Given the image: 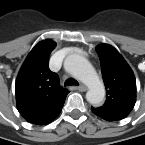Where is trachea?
Masks as SVG:
<instances>
[{
	"mask_svg": "<svg viewBox=\"0 0 145 145\" xmlns=\"http://www.w3.org/2000/svg\"><path fill=\"white\" fill-rule=\"evenodd\" d=\"M71 85H76V86H78L79 84H78V82H77L76 80H74V79H67V80L65 81L64 86H71Z\"/></svg>",
	"mask_w": 145,
	"mask_h": 145,
	"instance_id": "obj_1",
	"label": "trachea"
}]
</instances>
